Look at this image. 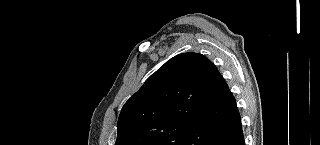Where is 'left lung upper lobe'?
<instances>
[{
  "label": "left lung upper lobe",
  "instance_id": "1",
  "mask_svg": "<svg viewBox=\"0 0 320 145\" xmlns=\"http://www.w3.org/2000/svg\"><path fill=\"white\" fill-rule=\"evenodd\" d=\"M215 70L202 54L171 58L123 106L115 145H183L209 107Z\"/></svg>",
  "mask_w": 320,
  "mask_h": 145
}]
</instances>
